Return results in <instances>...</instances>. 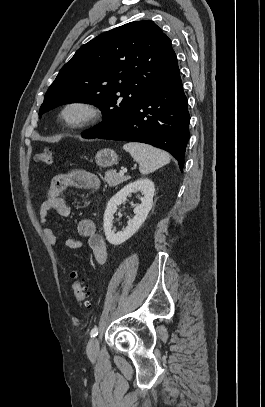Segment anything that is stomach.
Wrapping results in <instances>:
<instances>
[{"label": "stomach", "instance_id": "1", "mask_svg": "<svg viewBox=\"0 0 265 407\" xmlns=\"http://www.w3.org/2000/svg\"><path fill=\"white\" fill-rule=\"evenodd\" d=\"M95 162L100 167H110L118 162V155L112 149H102L97 152Z\"/></svg>", "mask_w": 265, "mask_h": 407}]
</instances>
